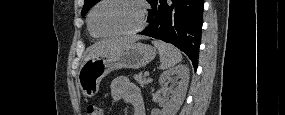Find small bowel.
<instances>
[{
    "mask_svg": "<svg viewBox=\"0 0 285 115\" xmlns=\"http://www.w3.org/2000/svg\"><path fill=\"white\" fill-rule=\"evenodd\" d=\"M114 102L124 101L133 108V115H145V106L140 89L126 77H118L111 82Z\"/></svg>",
    "mask_w": 285,
    "mask_h": 115,
    "instance_id": "obj_1",
    "label": "small bowel"
}]
</instances>
